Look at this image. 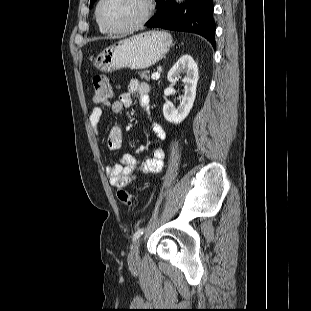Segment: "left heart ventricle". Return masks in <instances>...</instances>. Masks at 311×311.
<instances>
[{"instance_id":"obj_1","label":"left heart ventricle","mask_w":311,"mask_h":311,"mask_svg":"<svg viewBox=\"0 0 311 311\" xmlns=\"http://www.w3.org/2000/svg\"><path fill=\"white\" fill-rule=\"evenodd\" d=\"M142 0H105L101 17L112 27L123 28L136 22L142 15Z\"/></svg>"}]
</instances>
